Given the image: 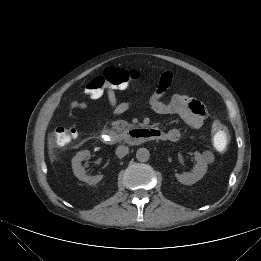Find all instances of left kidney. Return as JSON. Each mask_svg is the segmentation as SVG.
Instances as JSON below:
<instances>
[{
    "label": "left kidney",
    "mask_w": 261,
    "mask_h": 261,
    "mask_svg": "<svg viewBox=\"0 0 261 261\" xmlns=\"http://www.w3.org/2000/svg\"><path fill=\"white\" fill-rule=\"evenodd\" d=\"M196 165L190 173L175 174L177 180L184 185H192L199 181L207 172V162L202 154L194 152Z\"/></svg>",
    "instance_id": "5707ae66"
}]
</instances>
